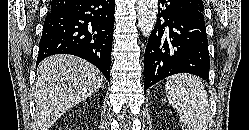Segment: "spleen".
I'll return each mask as SVG.
<instances>
[{
  "label": "spleen",
  "instance_id": "3e777b00",
  "mask_svg": "<svg viewBox=\"0 0 249 130\" xmlns=\"http://www.w3.org/2000/svg\"><path fill=\"white\" fill-rule=\"evenodd\" d=\"M165 89L169 103L180 116L183 130H207L209 102L200 78L191 74H177L167 79Z\"/></svg>",
  "mask_w": 249,
  "mask_h": 130
}]
</instances>
